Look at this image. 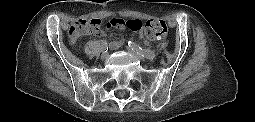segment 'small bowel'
<instances>
[{
	"label": "small bowel",
	"instance_id": "small-bowel-1",
	"mask_svg": "<svg viewBox=\"0 0 255 122\" xmlns=\"http://www.w3.org/2000/svg\"><path fill=\"white\" fill-rule=\"evenodd\" d=\"M118 28H121V27H118ZM94 34L97 35V36H102V35H103V32L100 31V30H98V31L94 32ZM143 34H145V33H144V32H141V35H143ZM146 38H147V42H151V41H153V40H156V39L151 38V37H148V36H146ZM121 44H122L121 41H114V42L111 44V47H112L113 49H118V48L121 46Z\"/></svg>",
	"mask_w": 255,
	"mask_h": 122
}]
</instances>
